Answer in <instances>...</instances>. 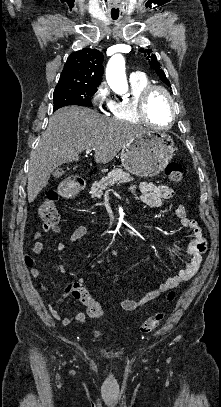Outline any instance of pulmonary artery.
<instances>
[{
    "mask_svg": "<svg viewBox=\"0 0 221 407\" xmlns=\"http://www.w3.org/2000/svg\"><path fill=\"white\" fill-rule=\"evenodd\" d=\"M143 73L141 71H134L130 75V79L142 77Z\"/></svg>",
    "mask_w": 221,
    "mask_h": 407,
    "instance_id": "obj_1",
    "label": "pulmonary artery"
}]
</instances>
